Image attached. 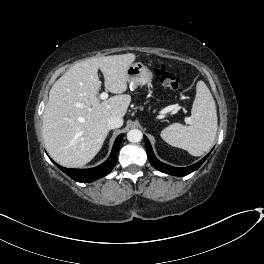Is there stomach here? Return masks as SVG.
I'll return each instance as SVG.
<instances>
[{"label":"stomach","mask_w":264,"mask_h":264,"mask_svg":"<svg viewBox=\"0 0 264 264\" xmlns=\"http://www.w3.org/2000/svg\"><path fill=\"white\" fill-rule=\"evenodd\" d=\"M152 77V72L141 62L133 63L127 69V80L134 87L150 84Z\"/></svg>","instance_id":"0dacf381"}]
</instances>
